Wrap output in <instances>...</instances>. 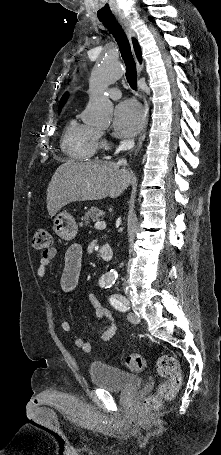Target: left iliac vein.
<instances>
[{"mask_svg":"<svg viewBox=\"0 0 221 455\" xmlns=\"http://www.w3.org/2000/svg\"><path fill=\"white\" fill-rule=\"evenodd\" d=\"M128 306H129V304H128ZM127 318L133 324H138L140 322V318L132 312H129L127 314Z\"/></svg>","mask_w":221,"mask_h":455,"instance_id":"left-iliac-vein-1","label":"left iliac vein"}]
</instances>
